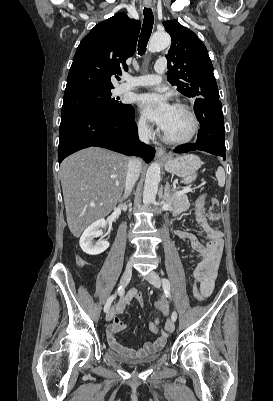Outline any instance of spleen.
I'll use <instances>...</instances> for the list:
<instances>
[{
    "label": "spleen",
    "mask_w": 273,
    "mask_h": 401,
    "mask_svg": "<svg viewBox=\"0 0 273 401\" xmlns=\"http://www.w3.org/2000/svg\"><path fill=\"white\" fill-rule=\"evenodd\" d=\"M216 176L218 178V184L219 186H224L225 184V170L222 168V166H218L216 170Z\"/></svg>",
    "instance_id": "1"
}]
</instances>
